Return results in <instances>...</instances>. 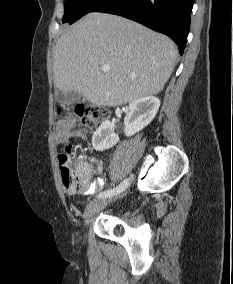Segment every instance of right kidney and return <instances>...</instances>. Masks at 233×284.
<instances>
[{"instance_id": "1", "label": "right kidney", "mask_w": 233, "mask_h": 284, "mask_svg": "<svg viewBox=\"0 0 233 284\" xmlns=\"http://www.w3.org/2000/svg\"><path fill=\"white\" fill-rule=\"evenodd\" d=\"M160 107V100L154 96H146L129 104L124 119L125 135L127 137L146 127L156 116ZM119 138L114 133V125L110 121L103 122L92 137L95 150L103 151L111 148Z\"/></svg>"}]
</instances>
